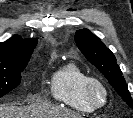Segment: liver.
<instances>
[{"mask_svg":"<svg viewBox=\"0 0 133 118\" xmlns=\"http://www.w3.org/2000/svg\"><path fill=\"white\" fill-rule=\"evenodd\" d=\"M0 118H81V115L49 104H32L24 107L2 105Z\"/></svg>","mask_w":133,"mask_h":118,"instance_id":"liver-1","label":"liver"}]
</instances>
